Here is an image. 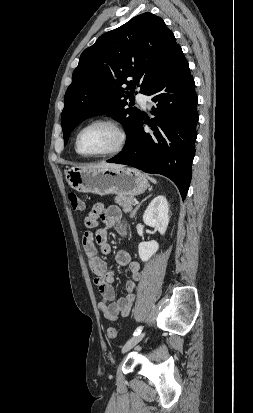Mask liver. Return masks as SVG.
Wrapping results in <instances>:
<instances>
[{"instance_id":"obj_1","label":"liver","mask_w":253,"mask_h":413,"mask_svg":"<svg viewBox=\"0 0 253 413\" xmlns=\"http://www.w3.org/2000/svg\"><path fill=\"white\" fill-rule=\"evenodd\" d=\"M121 167H123V165H121V164L101 162V163L90 165V166H87V167H84V168L107 169V168H121Z\"/></svg>"}]
</instances>
